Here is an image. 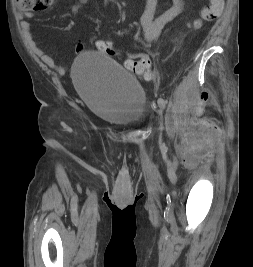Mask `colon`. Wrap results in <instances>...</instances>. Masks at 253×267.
<instances>
[{"instance_id":"1","label":"colon","mask_w":253,"mask_h":267,"mask_svg":"<svg viewBox=\"0 0 253 267\" xmlns=\"http://www.w3.org/2000/svg\"><path fill=\"white\" fill-rule=\"evenodd\" d=\"M20 9L25 11H42L51 6L53 0H16ZM224 0H209V4L201 11L199 20L193 22V28L197 29L203 22L216 20L222 13ZM97 49L107 55H115L113 44L107 40H99L96 43ZM124 66L137 74H145L146 78L151 76L150 57L145 53H133L130 58L126 59Z\"/></svg>"}]
</instances>
